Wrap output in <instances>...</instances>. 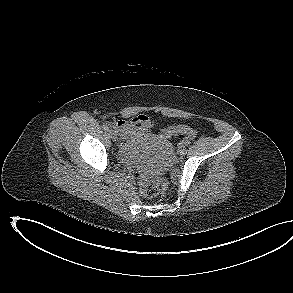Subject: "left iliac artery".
Segmentation results:
<instances>
[{"mask_svg": "<svg viewBox=\"0 0 293 293\" xmlns=\"http://www.w3.org/2000/svg\"><path fill=\"white\" fill-rule=\"evenodd\" d=\"M190 144V141L189 140H183L182 141V146L185 147V146H188Z\"/></svg>", "mask_w": 293, "mask_h": 293, "instance_id": "obj_1", "label": "left iliac artery"}]
</instances>
